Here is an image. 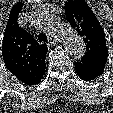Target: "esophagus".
Here are the masks:
<instances>
[{
    "mask_svg": "<svg viewBox=\"0 0 113 113\" xmlns=\"http://www.w3.org/2000/svg\"><path fill=\"white\" fill-rule=\"evenodd\" d=\"M57 43V40L55 38H50L48 41L49 46H54Z\"/></svg>",
    "mask_w": 113,
    "mask_h": 113,
    "instance_id": "obj_1",
    "label": "esophagus"
}]
</instances>
